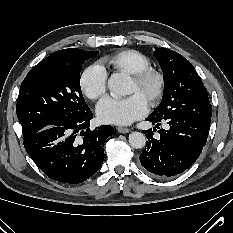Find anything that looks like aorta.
Returning a JSON list of instances; mask_svg holds the SVG:
<instances>
[{
    "instance_id": "1",
    "label": "aorta",
    "mask_w": 233,
    "mask_h": 233,
    "mask_svg": "<svg viewBox=\"0 0 233 233\" xmlns=\"http://www.w3.org/2000/svg\"><path fill=\"white\" fill-rule=\"evenodd\" d=\"M130 78L123 73H113L108 80V88L111 95L120 97L130 93ZM129 143L135 149H141L146 144V137L141 132H132L129 135Z\"/></svg>"
}]
</instances>
